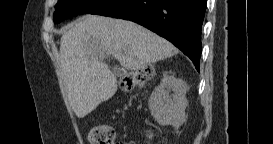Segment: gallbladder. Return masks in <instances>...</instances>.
Returning a JSON list of instances; mask_svg holds the SVG:
<instances>
[{
	"instance_id": "bac80fb5",
	"label": "gallbladder",
	"mask_w": 273,
	"mask_h": 144,
	"mask_svg": "<svg viewBox=\"0 0 273 144\" xmlns=\"http://www.w3.org/2000/svg\"><path fill=\"white\" fill-rule=\"evenodd\" d=\"M112 71L114 72V76H124V70L121 68H114Z\"/></svg>"
}]
</instances>
